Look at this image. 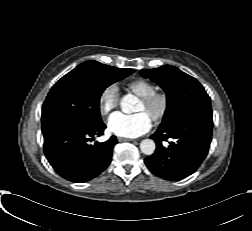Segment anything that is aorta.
I'll return each instance as SVG.
<instances>
[{
    "label": "aorta",
    "mask_w": 252,
    "mask_h": 231,
    "mask_svg": "<svg viewBox=\"0 0 252 231\" xmlns=\"http://www.w3.org/2000/svg\"><path fill=\"white\" fill-rule=\"evenodd\" d=\"M135 103H136V97L131 94H127L123 96L120 102V106L124 113L130 114L134 112ZM155 148L156 145L152 139H144L140 143V149L142 153H144L145 155H152L155 152Z\"/></svg>",
    "instance_id": "762f6f07"
}]
</instances>
